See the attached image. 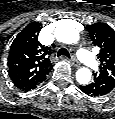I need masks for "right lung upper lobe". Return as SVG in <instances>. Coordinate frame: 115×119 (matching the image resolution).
I'll use <instances>...</instances> for the list:
<instances>
[{"label": "right lung upper lobe", "mask_w": 115, "mask_h": 119, "mask_svg": "<svg viewBox=\"0 0 115 119\" xmlns=\"http://www.w3.org/2000/svg\"><path fill=\"white\" fill-rule=\"evenodd\" d=\"M41 23L28 24L14 39L8 56L9 75L14 85L25 89L46 78L52 69L51 48L38 41Z\"/></svg>", "instance_id": "obj_1"}]
</instances>
